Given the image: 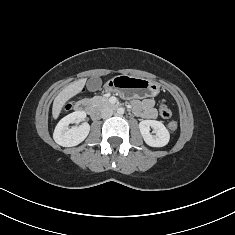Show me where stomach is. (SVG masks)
Returning a JSON list of instances; mask_svg holds the SVG:
<instances>
[{"instance_id": "obj_1", "label": "stomach", "mask_w": 235, "mask_h": 235, "mask_svg": "<svg viewBox=\"0 0 235 235\" xmlns=\"http://www.w3.org/2000/svg\"><path fill=\"white\" fill-rule=\"evenodd\" d=\"M105 88L126 99L155 97L160 92L158 83L126 74L113 77L106 83Z\"/></svg>"}]
</instances>
